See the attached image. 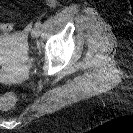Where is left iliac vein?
Instances as JSON below:
<instances>
[{"label": "left iliac vein", "instance_id": "1", "mask_svg": "<svg viewBox=\"0 0 133 133\" xmlns=\"http://www.w3.org/2000/svg\"><path fill=\"white\" fill-rule=\"evenodd\" d=\"M31 35H32V37H34V38L39 37V35H40V29H39L38 27H34V28L31 30Z\"/></svg>", "mask_w": 133, "mask_h": 133}]
</instances>
